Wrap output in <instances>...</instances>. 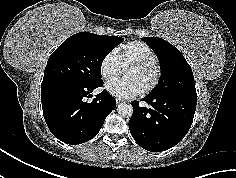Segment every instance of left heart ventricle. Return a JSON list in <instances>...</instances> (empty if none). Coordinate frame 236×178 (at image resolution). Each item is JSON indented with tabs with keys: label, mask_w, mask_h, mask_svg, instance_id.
Here are the masks:
<instances>
[{
	"label": "left heart ventricle",
	"mask_w": 236,
	"mask_h": 178,
	"mask_svg": "<svg viewBox=\"0 0 236 178\" xmlns=\"http://www.w3.org/2000/svg\"><path fill=\"white\" fill-rule=\"evenodd\" d=\"M153 70L139 68H128L124 71V77L135 80L144 89L153 79Z\"/></svg>",
	"instance_id": "1"
}]
</instances>
